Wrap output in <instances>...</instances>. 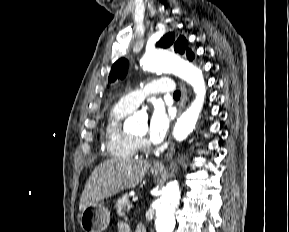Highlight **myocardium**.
Segmentation results:
<instances>
[{
    "mask_svg": "<svg viewBox=\"0 0 289 232\" xmlns=\"http://www.w3.org/2000/svg\"><path fill=\"white\" fill-rule=\"evenodd\" d=\"M136 139L139 141V142H143L144 141V138L143 137H138V136H135Z\"/></svg>",
    "mask_w": 289,
    "mask_h": 232,
    "instance_id": "myocardium-1",
    "label": "myocardium"
}]
</instances>
